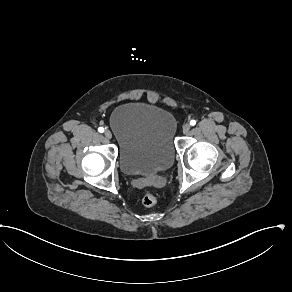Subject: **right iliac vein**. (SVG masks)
Here are the masks:
<instances>
[{
	"label": "right iliac vein",
	"mask_w": 292,
	"mask_h": 292,
	"mask_svg": "<svg viewBox=\"0 0 292 292\" xmlns=\"http://www.w3.org/2000/svg\"><path fill=\"white\" fill-rule=\"evenodd\" d=\"M104 135L107 139H111L112 138V133L109 130H105Z\"/></svg>",
	"instance_id": "63e3f726"
}]
</instances>
